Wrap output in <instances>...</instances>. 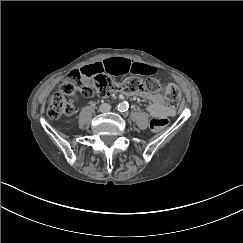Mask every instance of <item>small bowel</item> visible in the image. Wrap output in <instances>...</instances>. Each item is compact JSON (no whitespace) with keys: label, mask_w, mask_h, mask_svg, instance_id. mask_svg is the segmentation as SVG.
Segmentation results:
<instances>
[{"label":"small bowel","mask_w":243,"mask_h":243,"mask_svg":"<svg viewBox=\"0 0 243 243\" xmlns=\"http://www.w3.org/2000/svg\"><path fill=\"white\" fill-rule=\"evenodd\" d=\"M80 71L87 74L102 72L109 73L111 75H122L131 72L141 75H152L156 73V68L151 65L131 61L126 58H114L89 64L81 68ZM142 96L151 101V103L147 106V111L152 116L156 118H166L175 115V109L165 105L159 95H152L143 92Z\"/></svg>","instance_id":"obj_1"}]
</instances>
